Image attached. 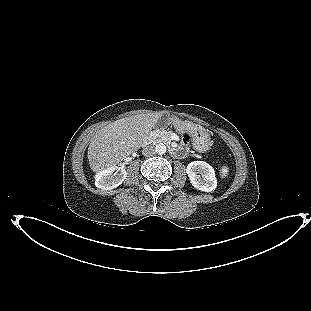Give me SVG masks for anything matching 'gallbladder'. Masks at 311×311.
Instances as JSON below:
<instances>
[{"mask_svg":"<svg viewBox=\"0 0 311 311\" xmlns=\"http://www.w3.org/2000/svg\"><path fill=\"white\" fill-rule=\"evenodd\" d=\"M170 115L168 113H164L157 121V127H165L170 123Z\"/></svg>","mask_w":311,"mask_h":311,"instance_id":"1","label":"gallbladder"}]
</instances>
